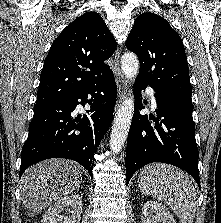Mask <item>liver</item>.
Instances as JSON below:
<instances>
[{
	"mask_svg": "<svg viewBox=\"0 0 221 223\" xmlns=\"http://www.w3.org/2000/svg\"><path fill=\"white\" fill-rule=\"evenodd\" d=\"M82 182L80 166L71 160L49 159L28 168L21 179V199L28 216L76 191Z\"/></svg>",
	"mask_w": 221,
	"mask_h": 223,
	"instance_id": "liver-1",
	"label": "liver"
}]
</instances>
